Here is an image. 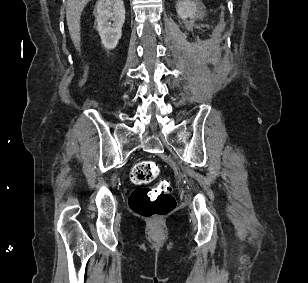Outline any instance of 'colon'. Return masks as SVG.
<instances>
[{"mask_svg": "<svg viewBox=\"0 0 308 283\" xmlns=\"http://www.w3.org/2000/svg\"><path fill=\"white\" fill-rule=\"evenodd\" d=\"M88 65L85 61L81 67L79 84L83 85L87 78ZM160 168L154 161L138 162L131 170L130 179L136 185H147L159 175ZM131 210L146 218H157L170 213L175 207L172 185L168 180L159 181L152 187L135 189L129 200Z\"/></svg>", "mask_w": 308, "mask_h": 283, "instance_id": "1", "label": "colon"}]
</instances>
